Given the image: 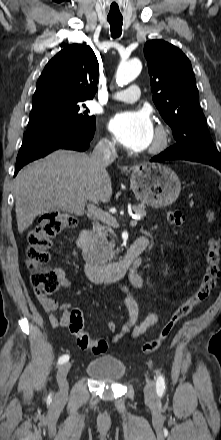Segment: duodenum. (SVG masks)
<instances>
[{"mask_svg": "<svg viewBox=\"0 0 221 440\" xmlns=\"http://www.w3.org/2000/svg\"><path fill=\"white\" fill-rule=\"evenodd\" d=\"M90 232L84 228L78 235V245L83 246L89 239ZM147 246L145 238H138L127 249L124 256L119 260L108 264H101L98 261H90L85 266L87 278L93 282H113L121 279L126 273L137 270L142 264L139 259Z\"/></svg>", "mask_w": 221, "mask_h": 440, "instance_id": "1", "label": "duodenum"}]
</instances>
